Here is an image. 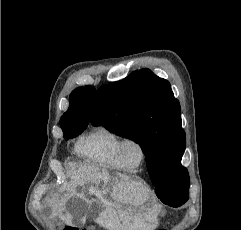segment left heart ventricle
<instances>
[{"label":"left heart ventricle","mask_w":241,"mask_h":230,"mask_svg":"<svg viewBox=\"0 0 241 230\" xmlns=\"http://www.w3.org/2000/svg\"><path fill=\"white\" fill-rule=\"evenodd\" d=\"M124 157L131 167L136 168L141 160V151L137 145L129 144L125 148Z\"/></svg>","instance_id":"left-heart-ventricle-1"}]
</instances>
